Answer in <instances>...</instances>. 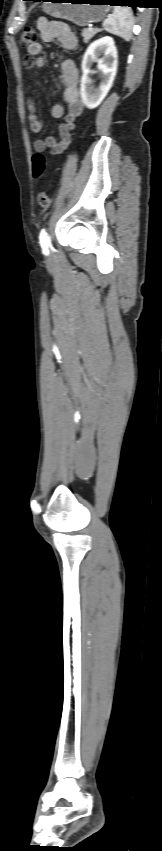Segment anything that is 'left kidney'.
I'll return each mask as SVG.
<instances>
[{"label":"left kidney","mask_w":162,"mask_h":851,"mask_svg":"<svg viewBox=\"0 0 162 851\" xmlns=\"http://www.w3.org/2000/svg\"><path fill=\"white\" fill-rule=\"evenodd\" d=\"M100 56L102 57L99 58ZM117 57V49L112 37H102L88 46L81 64L80 84L81 99L88 109L99 106L112 87L117 72ZM94 62H97V69L100 73V84L96 88L92 86L90 77Z\"/></svg>","instance_id":"left-kidney-1"}]
</instances>
